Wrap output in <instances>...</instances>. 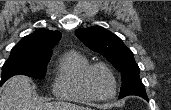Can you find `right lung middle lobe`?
<instances>
[{"mask_svg":"<svg viewBox=\"0 0 171 110\" xmlns=\"http://www.w3.org/2000/svg\"><path fill=\"white\" fill-rule=\"evenodd\" d=\"M49 56L25 55L17 51H11V55L2 67L0 85L14 75H27L42 79L45 77Z\"/></svg>","mask_w":171,"mask_h":110,"instance_id":"dd1d6c3e","label":"right lung middle lobe"}]
</instances>
